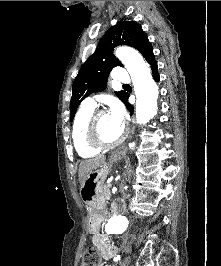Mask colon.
Here are the masks:
<instances>
[{
  "mask_svg": "<svg viewBox=\"0 0 221 266\" xmlns=\"http://www.w3.org/2000/svg\"><path fill=\"white\" fill-rule=\"evenodd\" d=\"M100 256L97 249L90 247L85 250L82 256V266H99Z\"/></svg>",
  "mask_w": 221,
  "mask_h": 266,
  "instance_id": "5ec220e1",
  "label": "colon"
}]
</instances>
